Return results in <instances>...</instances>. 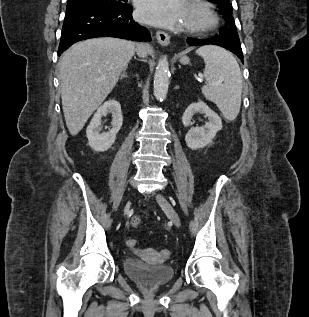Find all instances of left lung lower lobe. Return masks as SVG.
<instances>
[{
    "instance_id": "0a47b994",
    "label": "left lung lower lobe",
    "mask_w": 309,
    "mask_h": 317,
    "mask_svg": "<svg viewBox=\"0 0 309 317\" xmlns=\"http://www.w3.org/2000/svg\"><path fill=\"white\" fill-rule=\"evenodd\" d=\"M187 43L191 46H200V45H218L221 47L226 48L227 50L233 52L243 61V53L241 49L240 40L232 35L228 34H219L215 37L208 38V39H194V38H187Z\"/></svg>"
}]
</instances>
